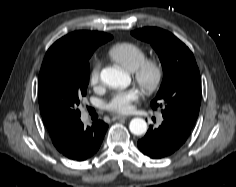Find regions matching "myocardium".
<instances>
[{"label": "myocardium", "instance_id": "1", "mask_svg": "<svg viewBox=\"0 0 236 187\" xmlns=\"http://www.w3.org/2000/svg\"><path fill=\"white\" fill-rule=\"evenodd\" d=\"M135 83L146 95L157 92L164 81V67L157 59L146 58L132 72Z\"/></svg>", "mask_w": 236, "mask_h": 187}]
</instances>
